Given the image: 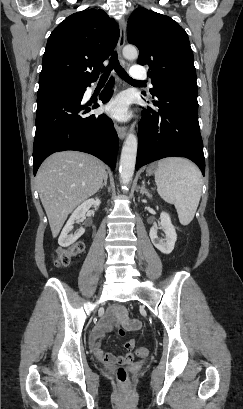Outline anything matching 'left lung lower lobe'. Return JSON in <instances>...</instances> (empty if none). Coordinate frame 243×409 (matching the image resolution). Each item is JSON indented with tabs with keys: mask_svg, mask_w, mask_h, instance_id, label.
I'll use <instances>...</instances> for the list:
<instances>
[{
	"mask_svg": "<svg viewBox=\"0 0 243 409\" xmlns=\"http://www.w3.org/2000/svg\"><path fill=\"white\" fill-rule=\"evenodd\" d=\"M152 103L158 109L143 108L139 123L136 170L155 160L180 156L196 163L204 176L196 80L166 83Z\"/></svg>",
	"mask_w": 243,
	"mask_h": 409,
	"instance_id": "0a47b994",
	"label": "left lung lower lobe"
}]
</instances>
